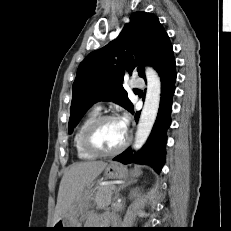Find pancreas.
<instances>
[{
  "mask_svg": "<svg viewBox=\"0 0 231 231\" xmlns=\"http://www.w3.org/2000/svg\"><path fill=\"white\" fill-rule=\"evenodd\" d=\"M112 186H101L98 187L95 194H94V204H96L99 208H104L111 203L113 190L111 189ZM90 222V218L87 221Z\"/></svg>",
  "mask_w": 231,
  "mask_h": 231,
  "instance_id": "1",
  "label": "pancreas"
}]
</instances>
